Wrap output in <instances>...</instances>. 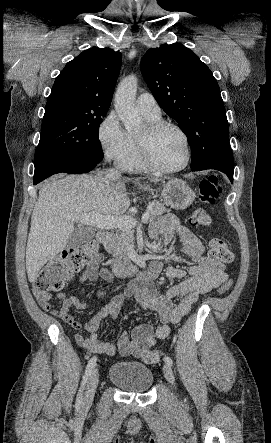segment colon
Returning a JSON list of instances; mask_svg holds the SVG:
<instances>
[{
  "instance_id": "obj_1",
  "label": "colon",
  "mask_w": 271,
  "mask_h": 443,
  "mask_svg": "<svg viewBox=\"0 0 271 443\" xmlns=\"http://www.w3.org/2000/svg\"><path fill=\"white\" fill-rule=\"evenodd\" d=\"M221 192L218 179L209 176L199 184V199L202 203L212 205L216 202ZM193 226L208 227L212 218L203 208L196 209L190 216ZM209 256L222 263L233 261L234 255L228 244L220 238H212L209 241ZM99 259V248L95 242H86L80 246L66 251L64 254L49 261L38 274L33 282L32 289L37 297L46 296L52 291H59L71 276L80 271L85 265L96 262ZM231 280L225 281L218 288L219 294L230 290ZM160 351H146L141 359L148 364L157 363L161 359Z\"/></svg>"
}]
</instances>
